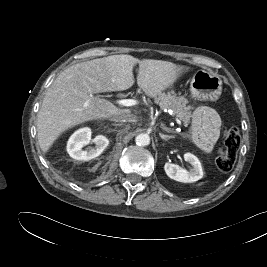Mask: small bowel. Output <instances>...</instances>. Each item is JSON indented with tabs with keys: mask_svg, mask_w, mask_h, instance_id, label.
<instances>
[{
	"mask_svg": "<svg viewBox=\"0 0 267 267\" xmlns=\"http://www.w3.org/2000/svg\"><path fill=\"white\" fill-rule=\"evenodd\" d=\"M221 124V117L213 108L201 106L194 110L190 133L201 150H212L219 138Z\"/></svg>",
	"mask_w": 267,
	"mask_h": 267,
	"instance_id": "c3829d8e",
	"label": "small bowel"
}]
</instances>
